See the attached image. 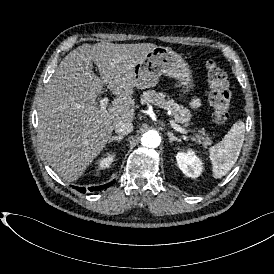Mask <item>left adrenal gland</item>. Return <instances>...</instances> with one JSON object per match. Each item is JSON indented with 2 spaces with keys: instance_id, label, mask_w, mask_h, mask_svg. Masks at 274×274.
Returning a JSON list of instances; mask_svg holds the SVG:
<instances>
[{
  "instance_id": "obj_1",
  "label": "left adrenal gland",
  "mask_w": 274,
  "mask_h": 274,
  "mask_svg": "<svg viewBox=\"0 0 274 274\" xmlns=\"http://www.w3.org/2000/svg\"><path fill=\"white\" fill-rule=\"evenodd\" d=\"M167 135H168V138H169V143H173L174 141L181 142L180 139L174 137L173 133L168 132Z\"/></svg>"
}]
</instances>
